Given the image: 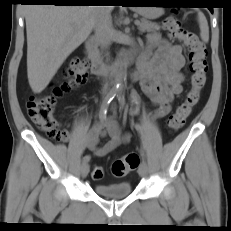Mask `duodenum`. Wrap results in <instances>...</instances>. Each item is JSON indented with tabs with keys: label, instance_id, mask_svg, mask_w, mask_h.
<instances>
[{
	"label": "duodenum",
	"instance_id": "obj_1",
	"mask_svg": "<svg viewBox=\"0 0 231 231\" xmlns=\"http://www.w3.org/2000/svg\"><path fill=\"white\" fill-rule=\"evenodd\" d=\"M85 53L91 63L92 73L95 75H104L108 71L119 73V69L107 68L102 62L101 56L97 50V44L94 39H89L85 44Z\"/></svg>",
	"mask_w": 231,
	"mask_h": 231
}]
</instances>
